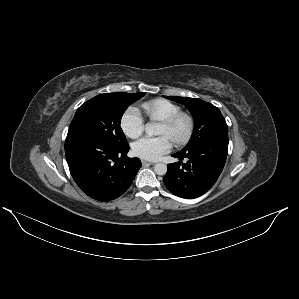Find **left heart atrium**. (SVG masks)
<instances>
[{
  "label": "left heart atrium",
  "mask_w": 299,
  "mask_h": 299,
  "mask_svg": "<svg viewBox=\"0 0 299 299\" xmlns=\"http://www.w3.org/2000/svg\"><path fill=\"white\" fill-rule=\"evenodd\" d=\"M136 156L147 160H158L172 149L171 138L167 135L159 137H142L132 146Z\"/></svg>",
  "instance_id": "obj_1"
}]
</instances>
